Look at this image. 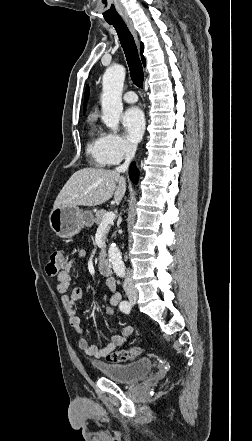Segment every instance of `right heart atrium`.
I'll use <instances>...</instances> for the list:
<instances>
[{
	"label": "right heart atrium",
	"mask_w": 252,
	"mask_h": 441,
	"mask_svg": "<svg viewBox=\"0 0 252 441\" xmlns=\"http://www.w3.org/2000/svg\"><path fill=\"white\" fill-rule=\"evenodd\" d=\"M103 149L109 165H116L135 152L134 147L116 132L104 133Z\"/></svg>",
	"instance_id": "d8ad5b80"
}]
</instances>
